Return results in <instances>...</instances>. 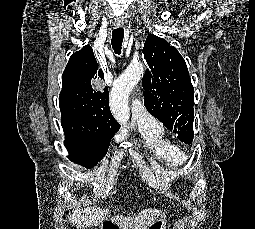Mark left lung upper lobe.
I'll list each match as a JSON object with an SVG mask.
<instances>
[{
  "mask_svg": "<svg viewBox=\"0 0 255 229\" xmlns=\"http://www.w3.org/2000/svg\"><path fill=\"white\" fill-rule=\"evenodd\" d=\"M143 57L149 66L142 79L146 109L181 141L191 143L194 88L185 60L176 48L154 34L146 38Z\"/></svg>",
  "mask_w": 255,
  "mask_h": 229,
  "instance_id": "obj_1",
  "label": "left lung upper lobe"
}]
</instances>
